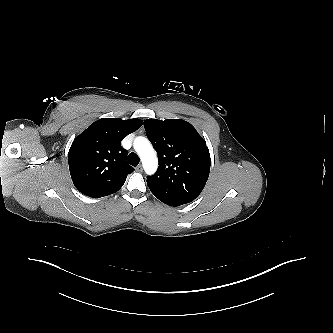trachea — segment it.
<instances>
[{
  "instance_id": "3493384b",
  "label": "trachea",
  "mask_w": 333,
  "mask_h": 333,
  "mask_svg": "<svg viewBox=\"0 0 333 333\" xmlns=\"http://www.w3.org/2000/svg\"><path fill=\"white\" fill-rule=\"evenodd\" d=\"M127 160L128 163L134 167H136L139 164V157L137 156V154L133 152L128 155Z\"/></svg>"
}]
</instances>
